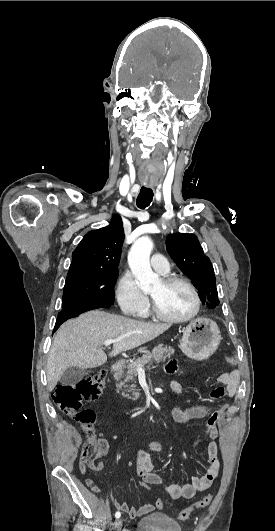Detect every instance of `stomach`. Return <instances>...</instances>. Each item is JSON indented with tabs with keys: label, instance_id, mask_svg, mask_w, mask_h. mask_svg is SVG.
I'll return each mask as SVG.
<instances>
[{
	"label": "stomach",
	"instance_id": "1",
	"mask_svg": "<svg viewBox=\"0 0 275 531\" xmlns=\"http://www.w3.org/2000/svg\"><path fill=\"white\" fill-rule=\"evenodd\" d=\"M220 329L211 319H195L187 325L180 343V349L190 359H209L221 341Z\"/></svg>",
	"mask_w": 275,
	"mask_h": 531
}]
</instances>
